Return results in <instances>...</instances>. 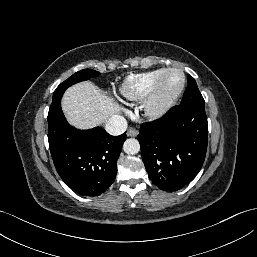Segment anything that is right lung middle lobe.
I'll return each mask as SVG.
<instances>
[{
    "mask_svg": "<svg viewBox=\"0 0 257 257\" xmlns=\"http://www.w3.org/2000/svg\"><path fill=\"white\" fill-rule=\"evenodd\" d=\"M100 73L92 70V69H83L79 72H76L75 74H73L71 77H69L67 80H65L64 82H62L57 89L54 91L53 94V98H52V104L51 107L56 106L58 103H60L62 95L64 93V91L71 85L81 82V81H85L88 80L92 77H96L98 76Z\"/></svg>",
    "mask_w": 257,
    "mask_h": 257,
    "instance_id": "right-lung-middle-lobe-1",
    "label": "right lung middle lobe"
}]
</instances>
